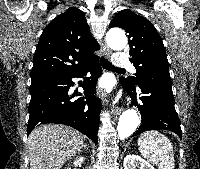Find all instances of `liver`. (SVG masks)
I'll return each mask as SVG.
<instances>
[{
  "label": "liver",
  "instance_id": "liver-1",
  "mask_svg": "<svg viewBox=\"0 0 200 169\" xmlns=\"http://www.w3.org/2000/svg\"><path fill=\"white\" fill-rule=\"evenodd\" d=\"M84 136L65 125L45 124L28 137L30 169H61L84 144Z\"/></svg>",
  "mask_w": 200,
  "mask_h": 169
}]
</instances>
